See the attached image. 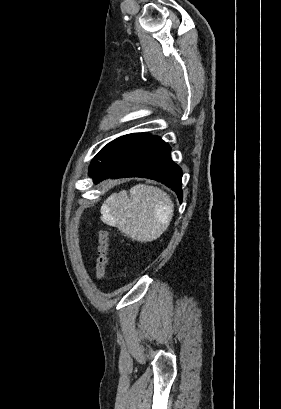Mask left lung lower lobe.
I'll list each match as a JSON object with an SVG mask.
<instances>
[{
    "mask_svg": "<svg viewBox=\"0 0 281 409\" xmlns=\"http://www.w3.org/2000/svg\"><path fill=\"white\" fill-rule=\"evenodd\" d=\"M170 146L157 136L150 135L141 142L112 158L97 173L94 183L112 177H143L159 181L178 195L182 202V170L170 157Z\"/></svg>",
    "mask_w": 281,
    "mask_h": 409,
    "instance_id": "obj_1",
    "label": "left lung lower lobe"
}]
</instances>
